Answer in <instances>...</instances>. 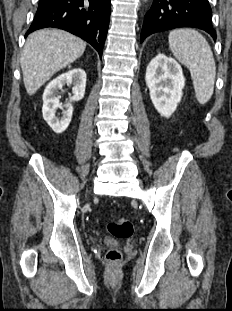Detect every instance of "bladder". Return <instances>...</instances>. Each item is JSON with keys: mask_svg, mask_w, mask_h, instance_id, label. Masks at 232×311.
Wrapping results in <instances>:
<instances>
[{"mask_svg": "<svg viewBox=\"0 0 232 311\" xmlns=\"http://www.w3.org/2000/svg\"><path fill=\"white\" fill-rule=\"evenodd\" d=\"M107 243H108V244H114V242L111 241V240H107Z\"/></svg>", "mask_w": 232, "mask_h": 311, "instance_id": "1", "label": "bladder"}]
</instances>
